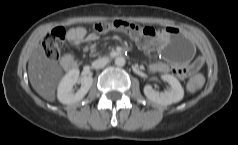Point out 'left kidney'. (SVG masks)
<instances>
[{"label":"left kidney","mask_w":238,"mask_h":145,"mask_svg":"<svg viewBox=\"0 0 238 145\" xmlns=\"http://www.w3.org/2000/svg\"><path fill=\"white\" fill-rule=\"evenodd\" d=\"M161 78L170 84L171 90L168 92H157L151 85H146L144 87L145 96L149 100L161 105H170L182 100L184 97V90L178 79L170 74H163Z\"/></svg>","instance_id":"left-kidney-1"}]
</instances>
